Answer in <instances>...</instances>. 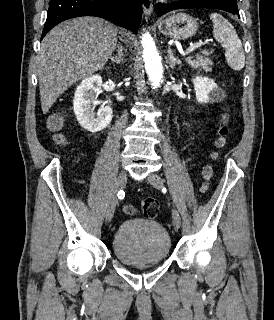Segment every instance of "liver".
I'll list each match as a JSON object with an SVG mask.
<instances>
[{"label":"liver","mask_w":274,"mask_h":320,"mask_svg":"<svg viewBox=\"0 0 274 320\" xmlns=\"http://www.w3.org/2000/svg\"><path fill=\"white\" fill-rule=\"evenodd\" d=\"M116 36L113 24L92 16L62 22L45 36L36 60L43 114L69 86L103 70Z\"/></svg>","instance_id":"obj_1"}]
</instances>
